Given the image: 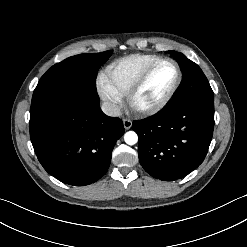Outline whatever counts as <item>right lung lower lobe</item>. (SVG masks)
Listing matches in <instances>:
<instances>
[{"label": "right lung lower lobe", "instance_id": "right-lung-lower-lobe-1", "mask_svg": "<svg viewBox=\"0 0 247 247\" xmlns=\"http://www.w3.org/2000/svg\"><path fill=\"white\" fill-rule=\"evenodd\" d=\"M100 101L84 97L58 100L30 114V138L44 169L64 183L88 185L103 177L122 120L105 115Z\"/></svg>", "mask_w": 247, "mask_h": 247}]
</instances>
